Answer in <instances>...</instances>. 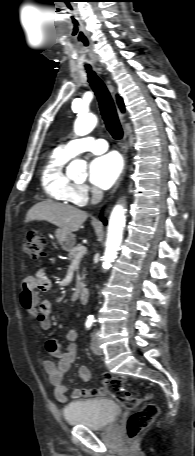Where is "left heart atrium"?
<instances>
[{"label": "left heart atrium", "mask_w": 195, "mask_h": 456, "mask_svg": "<svg viewBox=\"0 0 195 456\" xmlns=\"http://www.w3.org/2000/svg\"><path fill=\"white\" fill-rule=\"evenodd\" d=\"M122 170V162L116 153H107L94 158L89 165L90 181L101 189L110 188Z\"/></svg>", "instance_id": "left-heart-atrium-1"}]
</instances>
